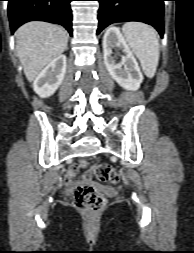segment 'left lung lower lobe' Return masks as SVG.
Instances as JSON below:
<instances>
[{
    "label": "left lung lower lobe",
    "instance_id": "0a47b994",
    "mask_svg": "<svg viewBox=\"0 0 194 253\" xmlns=\"http://www.w3.org/2000/svg\"><path fill=\"white\" fill-rule=\"evenodd\" d=\"M99 34L115 22L140 21L152 25L163 37V14L165 0H97Z\"/></svg>",
    "mask_w": 194,
    "mask_h": 253
}]
</instances>
